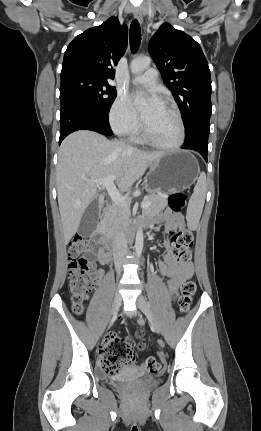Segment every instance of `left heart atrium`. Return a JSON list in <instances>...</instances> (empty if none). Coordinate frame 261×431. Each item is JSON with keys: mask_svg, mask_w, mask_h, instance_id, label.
<instances>
[{"mask_svg": "<svg viewBox=\"0 0 261 431\" xmlns=\"http://www.w3.org/2000/svg\"><path fill=\"white\" fill-rule=\"evenodd\" d=\"M161 104V99L155 93H151L146 108L141 112L142 121L145 123L150 115L158 109Z\"/></svg>", "mask_w": 261, "mask_h": 431, "instance_id": "left-heart-atrium-1", "label": "left heart atrium"}]
</instances>
